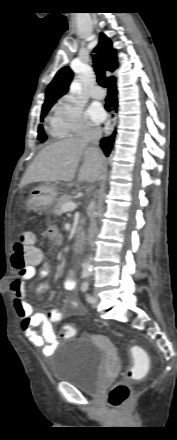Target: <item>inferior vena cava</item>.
<instances>
[{"instance_id": "inferior-vena-cava-1", "label": "inferior vena cava", "mask_w": 177, "mask_h": 440, "mask_svg": "<svg viewBox=\"0 0 177 440\" xmlns=\"http://www.w3.org/2000/svg\"><path fill=\"white\" fill-rule=\"evenodd\" d=\"M102 131L99 127L91 128L86 127L83 132V141L85 142H91L94 145H98L99 140L101 138ZM97 230V222H96V215L94 212L90 215V228H89V237H88V243L92 247L93 246V238Z\"/></svg>"}]
</instances>
